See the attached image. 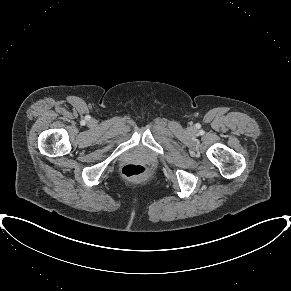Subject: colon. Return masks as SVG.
Returning <instances> with one entry per match:
<instances>
[{"instance_id": "obj_1", "label": "colon", "mask_w": 291, "mask_h": 291, "mask_svg": "<svg viewBox=\"0 0 291 291\" xmlns=\"http://www.w3.org/2000/svg\"><path fill=\"white\" fill-rule=\"evenodd\" d=\"M146 168L139 164H127L122 168L124 176L131 179H141L146 175Z\"/></svg>"}]
</instances>
